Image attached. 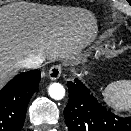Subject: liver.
Wrapping results in <instances>:
<instances>
[{
	"instance_id": "6515ba94",
	"label": "liver",
	"mask_w": 131,
	"mask_h": 131,
	"mask_svg": "<svg viewBox=\"0 0 131 131\" xmlns=\"http://www.w3.org/2000/svg\"><path fill=\"white\" fill-rule=\"evenodd\" d=\"M97 34L90 12L77 13L30 3L0 8V88L18 69V62L40 55L69 59Z\"/></svg>"
}]
</instances>
